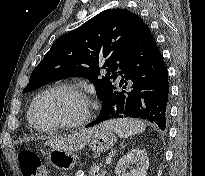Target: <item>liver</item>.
<instances>
[{
  "mask_svg": "<svg viewBox=\"0 0 205 176\" xmlns=\"http://www.w3.org/2000/svg\"><path fill=\"white\" fill-rule=\"evenodd\" d=\"M91 136V129L83 130L78 133H74L61 139H54L47 141L53 148L65 150V151H77L82 149L88 142Z\"/></svg>",
  "mask_w": 205,
  "mask_h": 176,
  "instance_id": "obj_1",
  "label": "liver"
}]
</instances>
